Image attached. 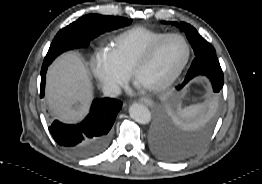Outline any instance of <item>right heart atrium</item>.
<instances>
[{"instance_id": "d8ad5b80", "label": "right heart atrium", "mask_w": 262, "mask_h": 184, "mask_svg": "<svg viewBox=\"0 0 262 184\" xmlns=\"http://www.w3.org/2000/svg\"><path fill=\"white\" fill-rule=\"evenodd\" d=\"M91 70L103 91L109 95L116 94L129 78V72L119 65L110 51L104 49L94 54Z\"/></svg>"}]
</instances>
